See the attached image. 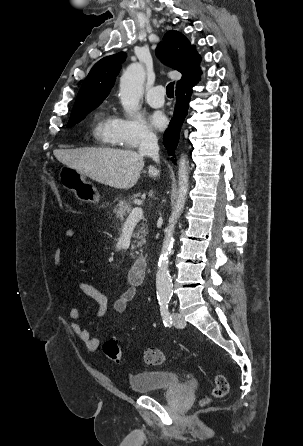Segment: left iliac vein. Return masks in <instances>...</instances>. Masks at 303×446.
Returning a JSON list of instances; mask_svg holds the SVG:
<instances>
[{"mask_svg":"<svg viewBox=\"0 0 303 446\" xmlns=\"http://www.w3.org/2000/svg\"><path fill=\"white\" fill-rule=\"evenodd\" d=\"M173 323L177 328H184L186 326V322L181 314L177 312L172 313Z\"/></svg>","mask_w":303,"mask_h":446,"instance_id":"obj_1","label":"left iliac vein"}]
</instances>
